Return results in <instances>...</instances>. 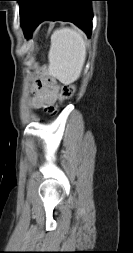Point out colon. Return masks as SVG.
<instances>
[{
    "mask_svg": "<svg viewBox=\"0 0 133 253\" xmlns=\"http://www.w3.org/2000/svg\"><path fill=\"white\" fill-rule=\"evenodd\" d=\"M75 92V86L72 84L65 85L61 92V100L69 99L73 96Z\"/></svg>",
    "mask_w": 133,
    "mask_h": 253,
    "instance_id": "1",
    "label": "colon"
}]
</instances>
